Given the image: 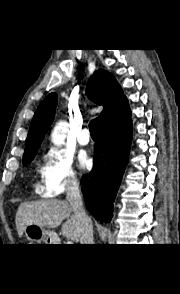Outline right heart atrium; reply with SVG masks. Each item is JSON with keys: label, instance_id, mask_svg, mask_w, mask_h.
Segmentation results:
<instances>
[{"label": "right heart atrium", "instance_id": "1", "mask_svg": "<svg viewBox=\"0 0 180 294\" xmlns=\"http://www.w3.org/2000/svg\"><path fill=\"white\" fill-rule=\"evenodd\" d=\"M39 174L40 191L45 197L55 198L79 186L72 158L62 150L51 149L44 154Z\"/></svg>", "mask_w": 180, "mask_h": 294}]
</instances>
